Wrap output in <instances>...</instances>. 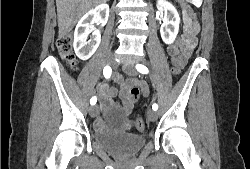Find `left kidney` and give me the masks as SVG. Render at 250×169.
Masks as SVG:
<instances>
[{
  "label": "left kidney",
  "instance_id": "left-kidney-1",
  "mask_svg": "<svg viewBox=\"0 0 250 169\" xmlns=\"http://www.w3.org/2000/svg\"><path fill=\"white\" fill-rule=\"evenodd\" d=\"M158 4H161L164 8L163 24L160 28L161 36L166 44H172L179 30V12L171 2H166V0H158Z\"/></svg>",
  "mask_w": 250,
  "mask_h": 169
}]
</instances>
